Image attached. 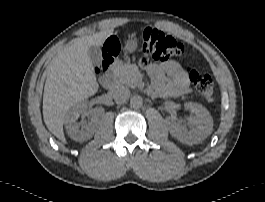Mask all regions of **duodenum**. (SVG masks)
Listing matches in <instances>:
<instances>
[{
    "instance_id": "duodenum-1",
    "label": "duodenum",
    "mask_w": 265,
    "mask_h": 202,
    "mask_svg": "<svg viewBox=\"0 0 265 202\" xmlns=\"http://www.w3.org/2000/svg\"><path fill=\"white\" fill-rule=\"evenodd\" d=\"M115 83V75L112 72H108L103 78L101 79V85L104 88H111Z\"/></svg>"
}]
</instances>
